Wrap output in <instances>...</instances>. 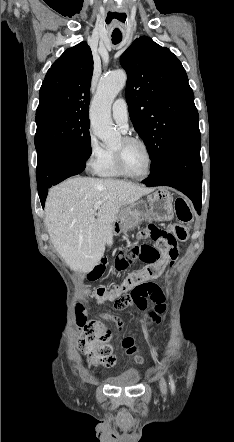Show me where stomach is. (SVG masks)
Here are the masks:
<instances>
[{
    "mask_svg": "<svg viewBox=\"0 0 234 442\" xmlns=\"http://www.w3.org/2000/svg\"><path fill=\"white\" fill-rule=\"evenodd\" d=\"M152 217L157 221H170L174 217L173 197L166 188H158L146 201H138L121 209L116 225L118 230L126 232L139 223ZM114 232V229H113Z\"/></svg>",
    "mask_w": 234,
    "mask_h": 442,
    "instance_id": "obj_1",
    "label": "stomach"
}]
</instances>
